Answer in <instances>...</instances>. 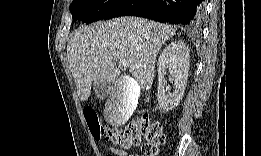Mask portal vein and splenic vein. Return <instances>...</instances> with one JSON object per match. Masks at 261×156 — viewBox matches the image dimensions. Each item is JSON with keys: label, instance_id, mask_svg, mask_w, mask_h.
<instances>
[{"label": "portal vein and splenic vein", "instance_id": "18ae733b", "mask_svg": "<svg viewBox=\"0 0 261 156\" xmlns=\"http://www.w3.org/2000/svg\"><path fill=\"white\" fill-rule=\"evenodd\" d=\"M118 64L123 67H129V63L126 60H120Z\"/></svg>", "mask_w": 261, "mask_h": 156}]
</instances>
